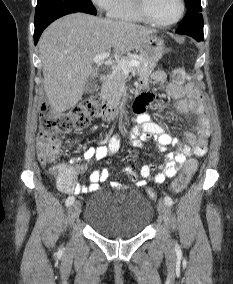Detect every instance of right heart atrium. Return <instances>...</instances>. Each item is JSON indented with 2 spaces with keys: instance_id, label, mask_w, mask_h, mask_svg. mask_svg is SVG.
Segmentation results:
<instances>
[{
  "instance_id": "d8ad5b80",
  "label": "right heart atrium",
  "mask_w": 233,
  "mask_h": 284,
  "mask_svg": "<svg viewBox=\"0 0 233 284\" xmlns=\"http://www.w3.org/2000/svg\"><path fill=\"white\" fill-rule=\"evenodd\" d=\"M92 3L100 10L106 11L108 10L112 0H91Z\"/></svg>"
}]
</instances>
